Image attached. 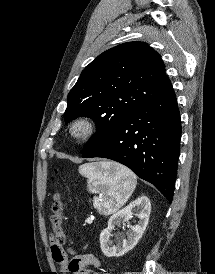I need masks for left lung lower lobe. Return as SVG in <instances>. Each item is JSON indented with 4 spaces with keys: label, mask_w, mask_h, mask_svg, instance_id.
<instances>
[{
    "label": "left lung lower lobe",
    "mask_w": 215,
    "mask_h": 274,
    "mask_svg": "<svg viewBox=\"0 0 215 274\" xmlns=\"http://www.w3.org/2000/svg\"><path fill=\"white\" fill-rule=\"evenodd\" d=\"M181 122L172 84L127 115L83 154L119 162L152 183L171 203L180 152Z\"/></svg>",
    "instance_id": "0a47b994"
}]
</instances>
